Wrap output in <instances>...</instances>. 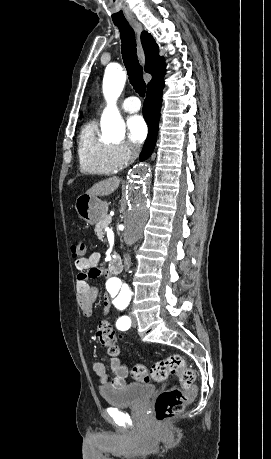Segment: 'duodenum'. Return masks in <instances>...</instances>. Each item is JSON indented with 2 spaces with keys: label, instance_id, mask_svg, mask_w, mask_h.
<instances>
[{
  "label": "duodenum",
  "instance_id": "obj_1",
  "mask_svg": "<svg viewBox=\"0 0 271 459\" xmlns=\"http://www.w3.org/2000/svg\"><path fill=\"white\" fill-rule=\"evenodd\" d=\"M123 269V264L120 258L114 257L109 264V271L116 275L119 274Z\"/></svg>",
  "mask_w": 271,
  "mask_h": 459
}]
</instances>
